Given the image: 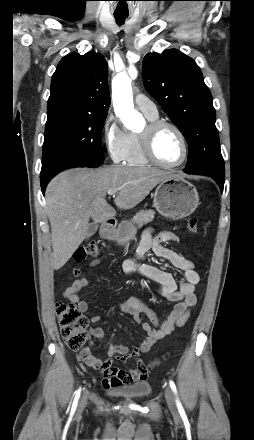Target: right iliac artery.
I'll return each mask as SVG.
<instances>
[{
	"label": "right iliac artery",
	"instance_id": "obj_1",
	"mask_svg": "<svg viewBox=\"0 0 254 440\" xmlns=\"http://www.w3.org/2000/svg\"><path fill=\"white\" fill-rule=\"evenodd\" d=\"M80 392H81V389H78L76 391V395H75V398H74V401H73V404H72V408H71V413H74L75 410H76V407H77V404H78V400H79V397H80Z\"/></svg>",
	"mask_w": 254,
	"mask_h": 440
}]
</instances>
